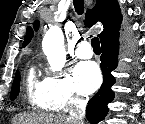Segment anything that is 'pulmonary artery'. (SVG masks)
Returning <instances> with one entry per match:
<instances>
[{
  "label": "pulmonary artery",
  "mask_w": 145,
  "mask_h": 124,
  "mask_svg": "<svg viewBox=\"0 0 145 124\" xmlns=\"http://www.w3.org/2000/svg\"><path fill=\"white\" fill-rule=\"evenodd\" d=\"M76 55L77 57L82 58V59L91 58L93 56L91 45L86 41H82L78 43L77 48H76Z\"/></svg>",
  "instance_id": "obj_1"
}]
</instances>
